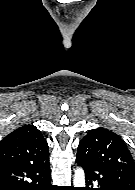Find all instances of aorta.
<instances>
[{"instance_id": "1", "label": "aorta", "mask_w": 135, "mask_h": 190, "mask_svg": "<svg viewBox=\"0 0 135 190\" xmlns=\"http://www.w3.org/2000/svg\"><path fill=\"white\" fill-rule=\"evenodd\" d=\"M73 184L74 187H85V174L82 168L75 170Z\"/></svg>"}]
</instances>
